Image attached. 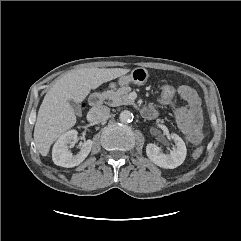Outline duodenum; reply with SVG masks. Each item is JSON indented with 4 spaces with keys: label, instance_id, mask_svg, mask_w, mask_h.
Instances as JSON below:
<instances>
[{
    "label": "duodenum",
    "instance_id": "obj_1",
    "mask_svg": "<svg viewBox=\"0 0 241 241\" xmlns=\"http://www.w3.org/2000/svg\"><path fill=\"white\" fill-rule=\"evenodd\" d=\"M105 92H96L94 94L91 95L90 97V104L93 107H98L100 105H102V103L104 102L105 99ZM143 114L145 117L147 118H154L156 116V113L148 108H145L143 110Z\"/></svg>",
    "mask_w": 241,
    "mask_h": 241
}]
</instances>
